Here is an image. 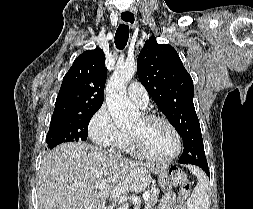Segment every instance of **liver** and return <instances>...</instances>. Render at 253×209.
Returning a JSON list of instances; mask_svg holds the SVG:
<instances>
[{
    "mask_svg": "<svg viewBox=\"0 0 253 209\" xmlns=\"http://www.w3.org/2000/svg\"><path fill=\"white\" fill-rule=\"evenodd\" d=\"M160 167L115 158L87 143H66L49 151L42 160L37 181L39 209H104L111 194L143 190L150 173ZM100 182L106 188L96 191ZM122 187L114 195L113 189Z\"/></svg>",
    "mask_w": 253,
    "mask_h": 209,
    "instance_id": "1",
    "label": "liver"
}]
</instances>
